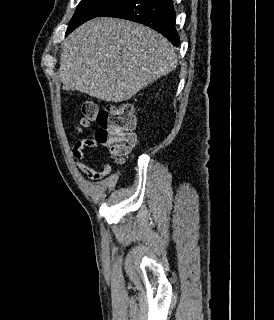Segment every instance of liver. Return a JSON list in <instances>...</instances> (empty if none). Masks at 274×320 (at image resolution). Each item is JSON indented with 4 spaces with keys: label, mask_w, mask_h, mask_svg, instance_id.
I'll list each match as a JSON object with an SVG mask.
<instances>
[{
    "label": "liver",
    "mask_w": 274,
    "mask_h": 320,
    "mask_svg": "<svg viewBox=\"0 0 274 320\" xmlns=\"http://www.w3.org/2000/svg\"><path fill=\"white\" fill-rule=\"evenodd\" d=\"M172 44L151 28L94 18L69 34L60 58L63 90H78L105 102H125L175 70Z\"/></svg>",
    "instance_id": "liver-1"
}]
</instances>
